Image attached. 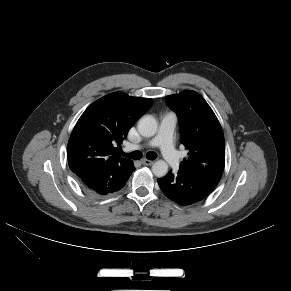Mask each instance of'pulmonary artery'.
Returning a JSON list of instances; mask_svg holds the SVG:
<instances>
[{"label":"pulmonary artery","instance_id":"1","mask_svg":"<svg viewBox=\"0 0 291 291\" xmlns=\"http://www.w3.org/2000/svg\"><path fill=\"white\" fill-rule=\"evenodd\" d=\"M177 117L174 113H166L161 118L160 127L157 135L146 144L132 145L133 150L144 147H159L167 163L174 169L180 165L179 157L173 147V132L176 126Z\"/></svg>","mask_w":291,"mask_h":291}]
</instances>
